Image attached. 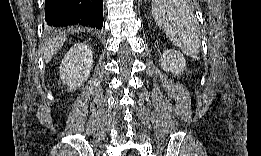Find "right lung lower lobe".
Wrapping results in <instances>:
<instances>
[{"instance_id":"right-lung-lower-lobe-1","label":"right lung lower lobe","mask_w":261,"mask_h":156,"mask_svg":"<svg viewBox=\"0 0 261 156\" xmlns=\"http://www.w3.org/2000/svg\"><path fill=\"white\" fill-rule=\"evenodd\" d=\"M45 20L49 29L68 26H103V0H45Z\"/></svg>"}]
</instances>
